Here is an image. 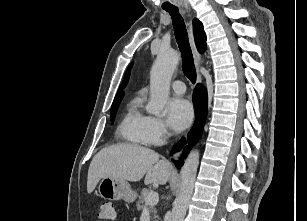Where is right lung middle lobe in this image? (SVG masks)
Returning <instances> with one entry per match:
<instances>
[{
    "label": "right lung middle lobe",
    "instance_id": "obj_1",
    "mask_svg": "<svg viewBox=\"0 0 307 221\" xmlns=\"http://www.w3.org/2000/svg\"><path fill=\"white\" fill-rule=\"evenodd\" d=\"M119 103H120V101H117V102H113V104H112V107H111V122L114 121L115 114H116Z\"/></svg>",
    "mask_w": 307,
    "mask_h": 221
}]
</instances>
